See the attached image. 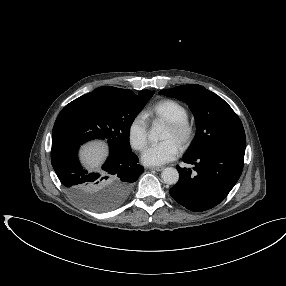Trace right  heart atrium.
<instances>
[{
	"mask_svg": "<svg viewBox=\"0 0 286 286\" xmlns=\"http://www.w3.org/2000/svg\"><path fill=\"white\" fill-rule=\"evenodd\" d=\"M128 140L131 146L142 151L148 141V122L144 114H137L129 123Z\"/></svg>",
	"mask_w": 286,
	"mask_h": 286,
	"instance_id": "obj_1",
	"label": "right heart atrium"
}]
</instances>
